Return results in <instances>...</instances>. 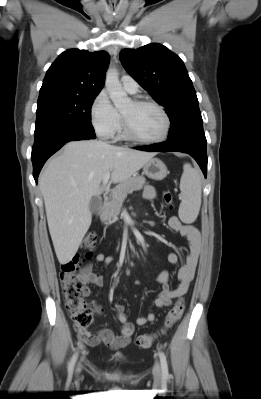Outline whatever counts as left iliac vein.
<instances>
[{
    "mask_svg": "<svg viewBox=\"0 0 261 399\" xmlns=\"http://www.w3.org/2000/svg\"><path fill=\"white\" fill-rule=\"evenodd\" d=\"M153 376H154L155 380H157V381L161 380L162 370H161V366L158 362H156L153 367Z\"/></svg>",
    "mask_w": 261,
    "mask_h": 399,
    "instance_id": "4c4485c4",
    "label": "left iliac vein"
}]
</instances>
